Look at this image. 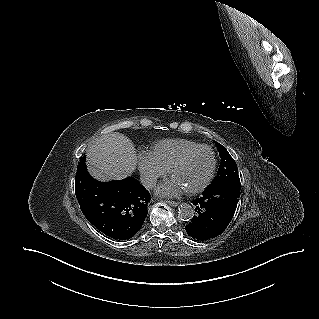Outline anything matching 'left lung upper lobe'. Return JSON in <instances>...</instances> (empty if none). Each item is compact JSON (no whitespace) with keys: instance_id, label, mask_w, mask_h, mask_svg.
I'll use <instances>...</instances> for the list:
<instances>
[{"instance_id":"1","label":"left lung upper lobe","mask_w":319,"mask_h":319,"mask_svg":"<svg viewBox=\"0 0 319 319\" xmlns=\"http://www.w3.org/2000/svg\"><path fill=\"white\" fill-rule=\"evenodd\" d=\"M216 146L219 150V155L221 158V163L217 176L214 178L212 183L209 185L210 188L219 186L223 183L232 180H239L237 164L224 146L216 143Z\"/></svg>"}]
</instances>
